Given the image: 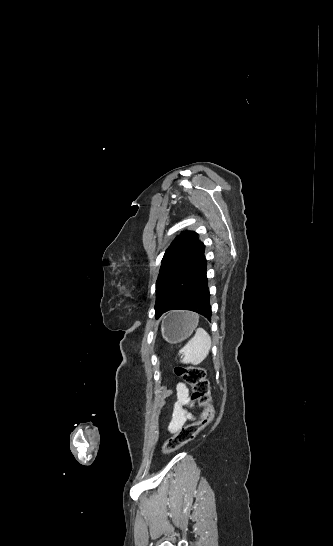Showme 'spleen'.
I'll return each instance as SVG.
<instances>
[{"label":"spleen","mask_w":333,"mask_h":546,"mask_svg":"<svg viewBox=\"0 0 333 546\" xmlns=\"http://www.w3.org/2000/svg\"><path fill=\"white\" fill-rule=\"evenodd\" d=\"M197 318L198 315L195 314ZM211 349V337L203 329H197L194 337L179 351L181 363L199 365L202 363Z\"/></svg>","instance_id":"3e777b00"}]
</instances>
